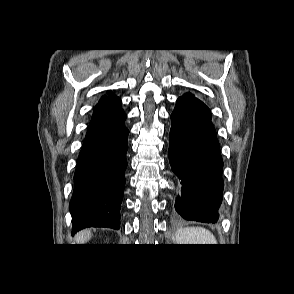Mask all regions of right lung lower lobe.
<instances>
[{
  "instance_id": "98d812e1",
  "label": "right lung lower lobe",
  "mask_w": 294,
  "mask_h": 294,
  "mask_svg": "<svg viewBox=\"0 0 294 294\" xmlns=\"http://www.w3.org/2000/svg\"><path fill=\"white\" fill-rule=\"evenodd\" d=\"M125 119L120 99L95 107L74 175L73 235L86 227L120 228L129 133Z\"/></svg>"
}]
</instances>
